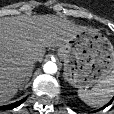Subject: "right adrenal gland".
<instances>
[{"instance_id":"1","label":"right adrenal gland","mask_w":114,"mask_h":114,"mask_svg":"<svg viewBox=\"0 0 114 114\" xmlns=\"http://www.w3.org/2000/svg\"><path fill=\"white\" fill-rule=\"evenodd\" d=\"M32 72H33V69H32V71H31V73L29 74V76H28L26 82H28V81L30 80V78H31V76H32Z\"/></svg>"}]
</instances>
